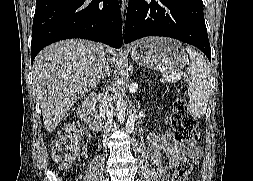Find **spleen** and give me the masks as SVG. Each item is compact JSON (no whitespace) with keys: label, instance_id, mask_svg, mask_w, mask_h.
<instances>
[{"label":"spleen","instance_id":"spleen-1","mask_svg":"<svg viewBox=\"0 0 253 181\" xmlns=\"http://www.w3.org/2000/svg\"><path fill=\"white\" fill-rule=\"evenodd\" d=\"M186 52L191 59V67L188 69V74L190 75L188 90L191 93V114L194 117L201 118L206 113L209 99V66L204 57L191 47L187 46Z\"/></svg>","mask_w":253,"mask_h":181}]
</instances>
